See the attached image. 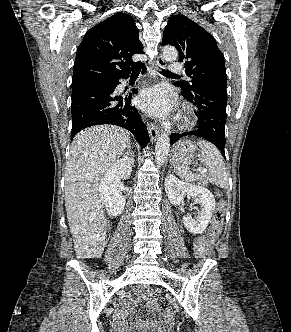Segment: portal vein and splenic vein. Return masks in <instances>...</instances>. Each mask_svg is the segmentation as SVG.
I'll return each mask as SVG.
<instances>
[{
  "instance_id": "obj_1",
  "label": "portal vein and splenic vein",
  "mask_w": 291,
  "mask_h": 332,
  "mask_svg": "<svg viewBox=\"0 0 291 332\" xmlns=\"http://www.w3.org/2000/svg\"><path fill=\"white\" fill-rule=\"evenodd\" d=\"M198 171H199L201 174H204V173H206L207 169H206V168L199 167V168H198Z\"/></svg>"
}]
</instances>
